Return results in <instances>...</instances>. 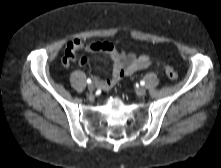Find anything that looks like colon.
<instances>
[{
  "mask_svg": "<svg viewBox=\"0 0 221 168\" xmlns=\"http://www.w3.org/2000/svg\"><path fill=\"white\" fill-rule=\"evenodd\" d=\"M165 72H166V75L168 76V78L171 80H176L178 78V74L171 66H166Z\"/></svg>",
  "mask_w": 221,
  "mask_h": 168,
  "instance_id": "colon-1",
  "label": "colon"
}]
</instances>
